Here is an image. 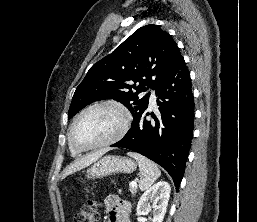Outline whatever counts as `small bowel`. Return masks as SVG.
<instances>
[{"mask_svg":"<svg viewBox=\"0 0 257 222\" xmlns=\"http://www.w3.org/2000/svg\"><path fill=\"white\" fill-rule=\"evenodd\" d=\"M109 222H130V204L116 196H108L105 200Z\"/></svg>","mask_w":257,"mask_h":222,"instance_id":"c3829d8e","label":"small bowel"}]
</instances>
